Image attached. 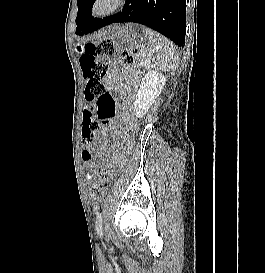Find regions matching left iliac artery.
I'll return each instance as SVG.
<instances>
[{"label": "left iliac artery", "instance_id": "left-iliac-artery-1", "mask_svg": "<svg viewBox=\"0 0 265 273\" xmlns=\"http://www.w3.org/2000/svg\"><path fill=\"white\" fill-rule=\"evenodd\" d=\"M95 227L100 238H103L102 215L100 213L96 216Z\"/></svg>", "mask_w": 265, "mask_h": 273}]
</instances>
